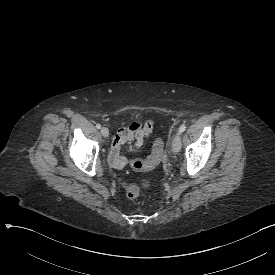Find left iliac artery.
<instances>
[{
  "label": "left iliac artery",
  "mask_w": 275,
  "mask_h": 275,
  "mask_svg": "<svg viewBox=\"0 0 275 275\" xmlns=\"http://www.w3.org/2000/svg\"><path fill=\"white\" fill-rule=\"evenodd\" d=\"M185 130H186V125L183 124V125L180 126L178 133H182Z\"/></svg>",
  "instance_id": "44dca946"
}]
</instances>
